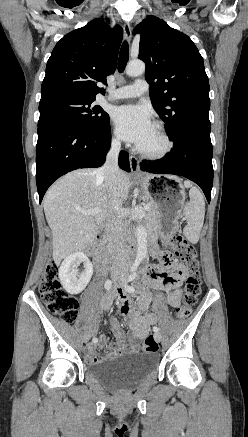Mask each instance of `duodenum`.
Returning <instances> with one entry per match:
<instances>
[{"instance_id": "obj_1", "label": "duodenum", "mask_w": 248, "mask_h": 437, "mask_svg": "<svg viewBox=\"0 0 248 437\" xmlns=\"http://www.w3.org/2000/svg\"><path fill=\"white\" fill-rule=\"evenodd\" d=\"M105 235H106L105 231L99 233L96 236L94 244L92 245V248H91V253H92L93 257L95 258L97 264L99 265V267H101L103 269L108 268L110 265V259L103 251V244H104V240H105ZM126 252L129 255H132L133 248L131 245H128L126 247ZM151 252L153 255L156 256L158 254V249L155 247H152Z\"/></svg>"}]
</instances>
